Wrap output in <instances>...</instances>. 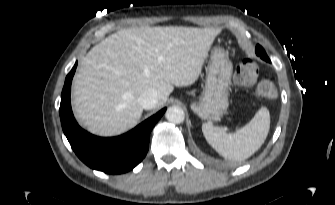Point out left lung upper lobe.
I'll return each instance as SVG.
<instances>
[{"label":"left lung upper lobe","instance_id":"5c2ea615","mask_svg":"<svg viewBox=\"0 0 335 205\" xmlns=\"http://www.w3.org/2000/svg\"><path fill=\"white\" fill-rule=\"evenodd\" d=\"M256 54L258 56H260L263 60H265L267 62H270V59L268 58V56H267V54H266V52H265V50L263 49L262 46H260V45L256 46Z\"/></svg>","mask_w":335,"mask_h":205}]
</instances>
